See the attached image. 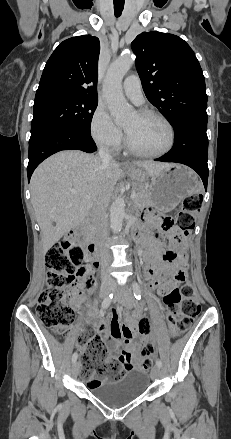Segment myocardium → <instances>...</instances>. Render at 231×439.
Wrapping results in <instances>:
<instances>
[{"instance_id":"1","label":"myocardium","mask_w":231,"mask_h":439,"mask_svg":"<svg viewBox=\"0 0 231 439\" xmlns=\"http://www.w3.org/2000/svg\"><path fill=\"white\" fill-rule=\"evenodd\" d=\"M137 114L139 116H152V117H156L159 120H161L168 129L169 141H168L167 146L160 151L152 152V153L142 152V151H139L135 147L132 146V144L129 141L127 132H126L125 144H126V148L128 149V151L130 153H132L133 155H135L137 157H141V158H158V157H161V156L169 153L172 150V148L174 147L175 140H176L175 129H174V126L171 123V121L164 114H162L159 111L153 110V109H143V110L138 111Z\"/></svg>"}]
</instances>
